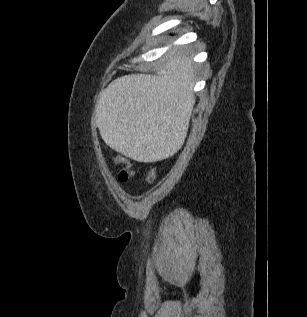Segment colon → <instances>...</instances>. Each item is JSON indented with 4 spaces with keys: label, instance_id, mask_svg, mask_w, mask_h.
Instances as JSON below:
<instances>
[{
    "label": "colon",
    "instance_id": "obj_1",
    "mask_svg": "<svg viewBox=\"0 0 307 317\" xmlns=\"http://www.w3.org/2000/svg\"><path fill=\"white\" fill-rule=\"evenodd\" d=\"M112 161L116 165L123 166V168L120 170V172L118 174L119 181L123 182V183L128 182L134 174V171L132 170L128 159L125 158L124 156L117 155V156L112 157ZM156 178H157L156 169L154 167H150L147 171V174H146V183L153 184L155 182Z\"/></svg>",
    "mask_w": 307,
    "mask_h": 317
}]
</instances>
